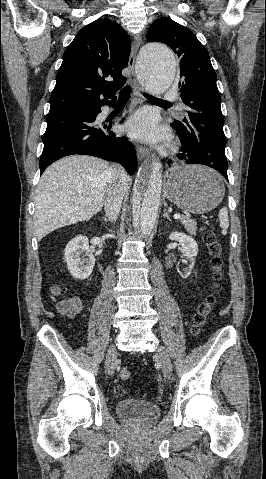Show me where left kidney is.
I'll use <instances>...</instances> for the list:
<instances>
[{
    "instance_id": "left-kidney-1",
    "label": "left kidney",
    "mask_w": 266,
    "mask_h": 479,
    "mask_svg": "<svg viewBox=\"0 0 266 479\" xmlns=\"http://www.w3.org/2000/svg\"><path fill=\"white\" fill-rule=\"evenodd\" d=\"M169 239L178 241L181 245V253L191 261V264L187 270L180 271L177 269L180 276L186 279L191 274L195 257L198 254V244L191 236L182 232L171 233L169 235Z\"/></svg>"
}]
</instances>
